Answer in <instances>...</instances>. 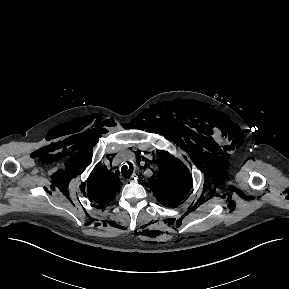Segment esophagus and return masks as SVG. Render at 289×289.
Instances as JSON below:
<instances>
[{"label":"esophagus","instance_id":"obj_1","mask_svg":"<svg viewBox=\"0 0 289 289\" xmlns=\"http://www.w3.org/2000/svg\"><path fill=\"white\" fill-rule=\"evenodd\" d=\"M137 178H138V175H137V174H134V175L132 176V179L130 180V182H131V181H134V180L136 181ZM133 179H134V180H133Z\"/></svg>","mask_w":289,"mask_h":289}]
</instances>
